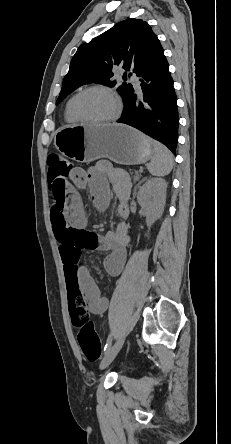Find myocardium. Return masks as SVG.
<instances>
[{"instance_id": "1", "label": "myocardium", "mask_w": 231, "mask_h": 444, "mask_svg": "<svg viewBox=\"0 0 231 444\" xmlns=\"http://www.w3.org/2000/svg\"><path fill=\"white\" fill-rule=\"evenodd\" d=\"M93 90L102 91V92L106 93L112 99L114 106H115V111L110 117L102 119V120H90V119H87L86 117H84L83 115H81V113L79 112V110H78L79 99L85 93H87L89 91H93ZM71 108H72L73 115L76 117V119L78 121L83 122L85 124H91V125H105V124L113 123L119 118V116L121 114V110H122V104H121V101H120L119 97L117 96V94L111 88L104 86V85H91V86H88V87L82 89L81 91H79L75 95Z\"/></svg>"}]
</instances>
